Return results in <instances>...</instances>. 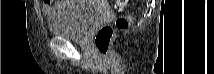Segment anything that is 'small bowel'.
<instances>
[{"label": "small bowel", "mask_w": 214, "mask_h": 74, "mask_svg": "<svg viewBox=\"0 0 214 74\" xmlns=\"http://www.w3.org/2000/svg\"><path fill=\"white\" fill-rule=\"evenodd\" d=\"M98 3H102L101 1ZM71 3L69 1H58L53 7L49 2H43L41 6L42 13L44 15H52L56 9H60L66 6H69Z\"/></svg>", "instance_id": "small-bowel-1"}]
</instances>
